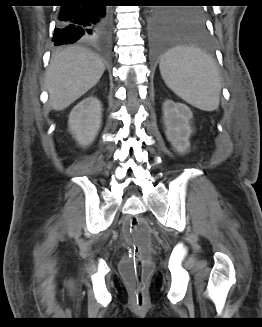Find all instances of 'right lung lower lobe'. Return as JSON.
<instances>
[{
  "label": "right lung lower lobe",
  "instance_id": "98d812e1",
  "mask_svg": "<svg viewBox=\"0 0 262 327\" xmlns=\"http://www.w3.org/2000/svg\"><path fill=\"white\" fill-rule=\"evenodd\" d=\"M58 12L52 41L56 46L86 42L107 49L111 37V14L100 0H64ZM77 3V4H71Z\"/></svg>",
  "mask_w": 262,
  "mask_h": 327
}]
</instances>
